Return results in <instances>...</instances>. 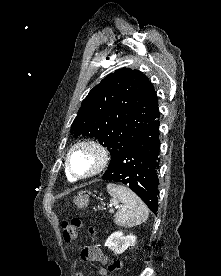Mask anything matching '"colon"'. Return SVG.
Instances as JSON below:
<instances>
[{"instance_id":"1","label":"colon","mask_w":221,"mask_h":276,"mask_svg":"<svg viewBox=\"0 0 221 276\" xmlns=\"http://www.w3.org/2000/svg\"><path fill=\"white\" fill-rule=\"evenodd\" d=\"M83 223L78 218H72L66 220L62 223V234L63 239L66 243H71L78 240L82 235ZM89 232L92 233L93 230L89 227ZM121 262L119 260H113L108 264L107 272L110 276L120 269Z\"/></svg>"}]
</instances>
